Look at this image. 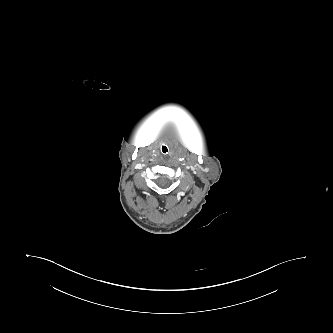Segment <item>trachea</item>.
Returning a JSON list of instances; mask_svg holds the SVG:
<instances>
[{
  "mask_svg": "<svg viewBox=\"0 0 333 333\" xmlns=\"http://www.w3.org/2000/svg\"><path fill=\"white\" fill-rule=\"evenodd\" d=\"M162 151H163V153H166L168 151L167 147L166 146H162Z\"/></svg>",
  "mask_w": 333,
  "mask_h": 333,
  "instance_id": "3493384b",
  "label": "trachea"
}]
</instances>
